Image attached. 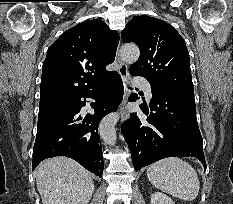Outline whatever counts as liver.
<instances>
[{"label":"liver","instance_id":"1","mask_svg":"<svg viewBox=\"0 0 233 204\" xmlns=\"http://www.w3.org/2000/svg\"><path fill=\"white\" fill-rule=\"evenodd\" d=\"M36 184L43 204H88L94 192L91 174L67 157L42 161Z\"/></svg>","mask_w":233,"mask_h":204}]
</instances>
